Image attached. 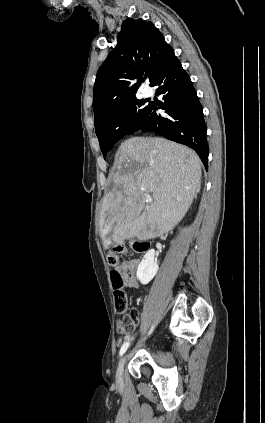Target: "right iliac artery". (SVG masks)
<instances>
[{
  "label": "right iliac artery",
  "mask_w": 265,
  "mask_h": 423,
  "mask_svg": "<svg viewBox=\"0 0 265 423\" xmlns=\"http://www.w3.org/2000/svg\"><path fill=\"white\" fill-rule=\"evenodd\" d=\"M152 330H153V326H152V328H151V330H150V333L152 332ZM129 345H130V342H129V341L125 342V343L122 345V347H121V349H120V353H119V355H120V356H122V355L126 352V350L128 349Z\"/></svg>",
  "instance_id": "82829eb1"
}]
</instances>
